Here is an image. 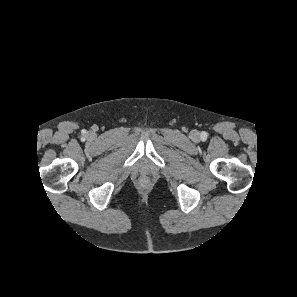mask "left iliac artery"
<instances>
[{
    "instance_id": "obj_1",
    "label": "left iliac artery",
    "mask_w": 297,
    "mask_h": 297,
    "mask_svg": "<svg viewBox=\"0 0 297 297\" xmlns=\"http://www.w3.org/2000/svg\"><path fill=\"white\" fill-rule=\"evenodd\" d=\"M207 136H208V134H207L206 132H202V133H201V138H202L203 140H205V139L207 138Z\"/></svg>"
}]
</instances>
